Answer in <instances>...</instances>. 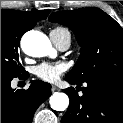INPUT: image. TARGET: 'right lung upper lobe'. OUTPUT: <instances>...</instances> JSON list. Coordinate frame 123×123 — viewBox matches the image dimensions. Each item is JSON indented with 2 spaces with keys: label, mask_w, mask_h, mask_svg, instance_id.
<instances>
[{
  "label": "right lung upper lobe",
  "mask_w": 123,
  "mask_h": 123,
  "mask_svg": "<svg viewBox=\"0 0 123 123\" xmlns=\"http://www.w3.org/2000/svg\"><path fill=\"white\" fill-rule=\"evenodd\" d=\"M49 12V10L33 12H22L10 9L1 10V13H10L11 15L15 16L23 25L29 27L30 29H32L38 21L46 19Z\"/></svg>",
  "instance_id": "cb5924a9"
}]
</instances>
